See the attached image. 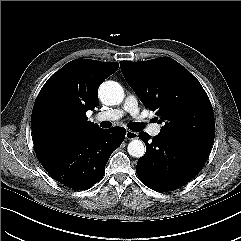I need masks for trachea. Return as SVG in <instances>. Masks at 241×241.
Listing matches in <instances>:
<instances>
[{
    "label": "trachea",
    "instance_id": "trachea-1",
    "mask_svg": "<svg viewBox=\"0 0 241 241\" xmlns=\"http://www.w3.org/2000/svg\"><path fill=\"white\" fill-rule=\"evenodd\" d=\"M100 125L103 128H109V127H111L112 124L108 121H104ZM128 127L132 131H141L143 129V125H141L140 123H136V122L135 123H129Z\"/></svg>",
    "mask_w": 241,
    "mask_h": 241
}]
</instances>
